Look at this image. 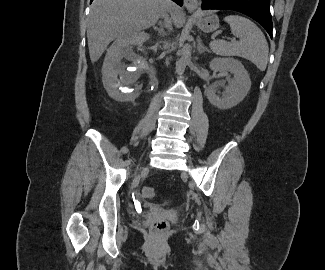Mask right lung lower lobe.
<instances>
[{
    "label": "right lung lower lobe",
    "instance_id": "right-lung-lower-lobe-1",
    "mask_svg": "<svg viewBox=\"0 0 325 270\" xmlns=\"http://www.w3.org/2000/svg\"><path fill=\"white\" fill-rule=\"evenodd\" d=\"M93 0H91L92 2ZM174 2H176L178 5L182 6L183 5V0H173Z\"/></svg>",
    "mask_w": 325,
    "mask_h": 270
}]
</instances>
